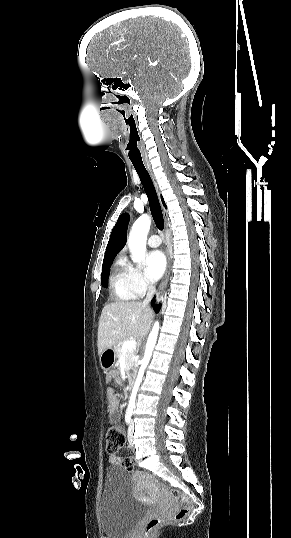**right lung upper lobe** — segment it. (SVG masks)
<instances>
[{
  "label": "right lung upper lobe",
  "instance_id": "right-lung-upper-lobe-1",
  "mask_svg": "<svg viewBox=\"0 0 291 538\" xmlns=\"http://www.w3.org/2000/svg\"><path fill=\"white\" fill-rule=\"evenodd\" d=\"M161 199H162L163 205L166 207L163 197H161ZM128 222H129V215L127 213H124L119 217L116 225L114 226L111 232L110 239H109L105 256H104V261L114 259L117 253H119L121 249L125 246V243L127 240Z\"/></svg>",
  "mask_w": 291,
  "mask_h": 538
}]
</instances>
